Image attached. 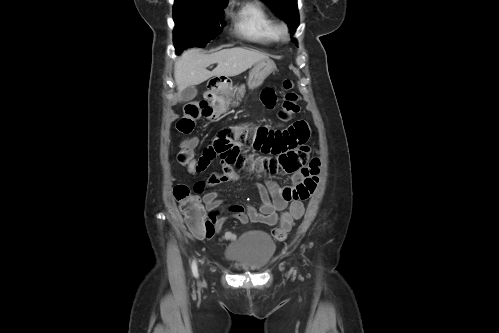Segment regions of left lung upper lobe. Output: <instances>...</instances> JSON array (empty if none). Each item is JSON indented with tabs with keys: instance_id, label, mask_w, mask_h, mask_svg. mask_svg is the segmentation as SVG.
<instances>
[{
	"instance_id": "5c2ea615",
	"label": "left lung upper lobe",
	"mask_w": 499,
	"mask_h": 333,
	"mask_svg": "<svg viewBox=\"0 0 499 333\" xmlns=\"http://www.w3.org/2000/svg\"><path fill=\"white\" fill-rule=\"evenodd\" d=\"M274 13L283 19L290 29L295 31L299 25V14L297 9V0H262Z\"/></svg>"
}]
</instances>
